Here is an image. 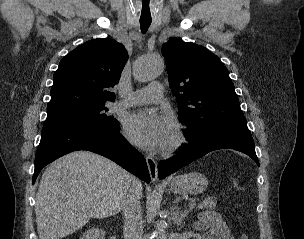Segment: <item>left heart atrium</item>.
Listing matches in <instances>:
<instances>
[{"mask_svg": "<svg viewBox=\"0 0 304 239\" xmlns=\"http://www.w3.org/2000/svg\"><path fill=\"white\" fill-rule=\"evenodd\" d=\"M174 130L175 123L168 114L149 110L132 114L125 124L127 137L148 150H159L168 145Z\"/></svg>", "mask_w": 304, "mask_h": 239, "instance_id": "obj_1", "label": "left heart atrium"}]
</instances>
